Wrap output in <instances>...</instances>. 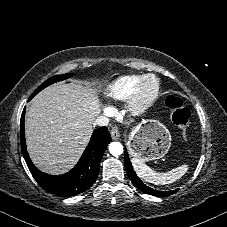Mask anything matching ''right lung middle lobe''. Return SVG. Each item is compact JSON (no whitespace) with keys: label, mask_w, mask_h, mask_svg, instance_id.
I'll use <instances>...</instances> for the list:
<instances>
[{"label":"right lung middle lobe","mask_w":227,"mask_h":227,"mask_svg":"<svg viewBox=\"0 0 227 227\" xmlns=\"http://www.w3.org/2000/svg\"><path fill=\"white\" fill-rule=\"evenodd\" d=\"M73 74H64V75H56V76H53L51 78H49L48 80H46L44 83H42L34 92L33 94L31 95L30 99H32L39 91H41L42 89L46 88L47 86L55 83V82H58V81H62V80H65L67 78H70L72 77Z\"/></svg>","instance_id":"right-lung-middle-lobe-1"}]
</instances>
